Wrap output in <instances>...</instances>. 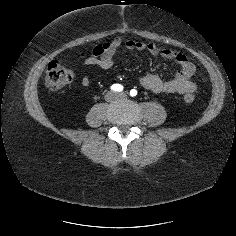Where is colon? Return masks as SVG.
<instances>
[{
  "instance_id": "1",
  "label": "colon",
  "mask_w": 236,
  "mask_h": 236,
  "mask_svg": "<svg viewBox=\"0 0 236 236\" xmlns=\"http://www.w3.org/2000/svg\"><path fill=\"white\" fill-rule=\"evenodd\" d=\"M108 47V44L96 46L92 53L96 56H100L105 50L108 49ZM73 77L72 71L66 68L60 61H53L48 65L45 83L50 91H58L70 84ZM185 101L192 103L194 101V96L187 94L185 96Z\"/></svg>"
}]
</instances>
